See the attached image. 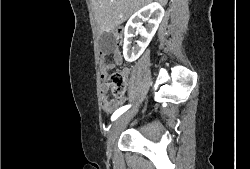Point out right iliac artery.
<instances>
[{"label": "right iliac artery", "mask_w": 250, "mask_h": 169, "mask_svg": "<svg viewBox=\"0 0 250 169\" xmlns=\"http://www.w3.org/2000/svg\"><path fill=\"white\" fill-rule=\"evenodd\" d=\"M131 105H126V106H123L121 108H119L118 110H116L112 117H111V120L114 121L116 120L121 114H123L125 111H127L129 108H130Z\"/></svg>", "instance_id": "1"}]
</instances>
